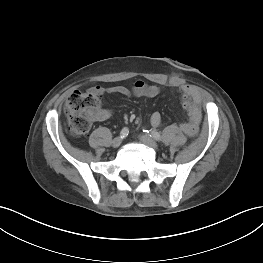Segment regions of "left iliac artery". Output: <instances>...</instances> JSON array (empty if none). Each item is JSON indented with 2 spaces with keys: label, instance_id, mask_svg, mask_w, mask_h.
<instances>
[{
  "label": "left iliac artery",
  "instance_id": "1",
  "mask_svg": "<svg viewBox=\"0 0 263 263\" xmlns=\"http://www.w3.org/2000/svg\"><path fill=\"white\" fill-rule=\"evenodd\" d=\"M149 133V131H147ZM150 137L154 138L155 140L157 141H161V135L160 133H158L156 130H150V133H149Z\"/></svg>",
  "mask_w": 263,
  "mask_h": 263
}]
</instances>
